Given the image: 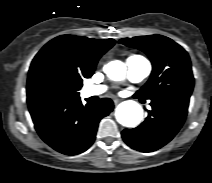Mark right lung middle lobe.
Here are the masks:
<instances>
[{"label": "right lung middle lobe", "instance_id": "dd1d6c3e", "mask_svg": "<svg viewBox=\"0 0 212 183\" xmlns=\"http://www.w3.org/2000/svg\"><path fill=\"white\" fill-rule=\"evenodd\" d=\"M82 81L56 67L45 68L36 78L35 88L44 97H78Z\"/></svg>", "mask_w": 212, "mask_h": 183}]
</instances>
